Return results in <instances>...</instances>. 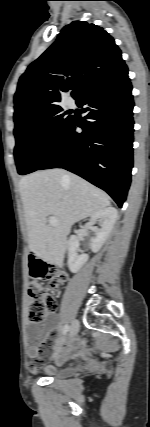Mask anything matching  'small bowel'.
I'll return each mask as SVG.
<instances>
[{
  "instance_id": "small-bowel-1",
  "label": "small bowel",
  "mask_w": 150,
  "mask_h": 427,
  "mask_svg": "<svg viewBox=\"0 0 150 427\" xmlns=\"http://www.w3.org/2000/svg\"><path fill=\"white\" fill-rule=\"evenodd\" d=\"M56 319L53 316L48 318L40 325H35L30 330V337L39 344H33L28 347V356L31 359L30 370L36 372L47 362L50 351L53 349L58 336L54 330ZM78 342H72V348L78 347Z\"/></svg>"
}]
</instances>
